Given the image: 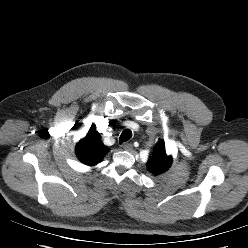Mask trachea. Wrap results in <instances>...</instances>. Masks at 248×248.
Segmentation results:
<instances>
[{
    "mask_svg": "<svg viewBox=\"0 0 248 248\" xmlns=\"http://www.w3.org/2000/svg\"><path fill=\"white\" fill-rule=\"evenodd\" d=\"M132 137V131L130 129H125L119 138V143L122 144L126 141H128Z\"/></svg>",
    "mask_w": 248,
    "mask_h": 248,
    "instance_id": "1",
    "label": "trachea"
}]
</instances>
